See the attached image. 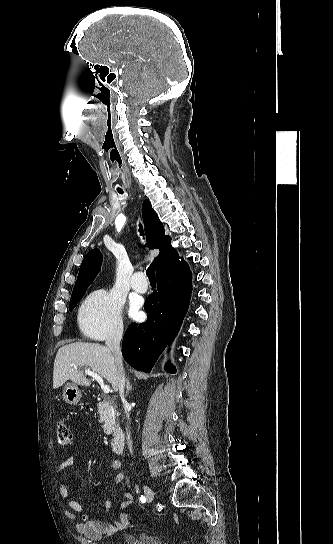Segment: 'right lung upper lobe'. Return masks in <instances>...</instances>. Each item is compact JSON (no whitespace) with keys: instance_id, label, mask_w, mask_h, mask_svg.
Here are the masks:
<instances>
[{"instance_id":"1","label":"right lung upper lobe","mask_w":333,"mask_h":544,"mask_svg":"<svg viewBox=\"0 0 333 544\" xmlns=\"http://www.w3.org/2000/svg\"><path fill=\"white\" fill-rule=\"evenodd\" d=\"M142 214L148 246L150 249L157 248L160 250L159 255L155 258L156 275L184 263V261L178 260V253L170 243L171 238L165 235L163 224L149 200L143 202ZM102 259V254L97 248L87 253L82 261L72 295L86 291L100 271Z\"/></svg>"}]
</instances>
